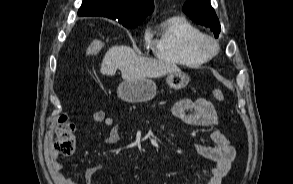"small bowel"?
Returning a JSON list of instances; mask_svg holds the SVG:
<instances>
[{
  "label": "small bowel",
  "mask_w": 293,
  "mask_h": 184,
  "mask_svg": "<svg viewBox=\"0 0 293 184\" xmlns=\"http://www.w3.org/2000/svg\"><path fill=\"white\" fill-rule=\"evenodd\" d=\"M172 113L187 125L203 126L210 129L209 135L212 145L195 144V151L200 156L215 162L211 175L204 184H222L232 167L236 151L217 128L219 119L213 104L206 98L195 100L184 98L173 105ZM91 118L94 122L103 123L111 128L105 138L106 144H115L119 140V125H114L113 119L107 116L104 111H94ZM104 168L102 165L87 168L84 172V183L93 184V177ZM50 170L57 184H77L72 178L63 174V165L57 157H52Z\"/></svg>",
  "instance_id": "c3829d8e"
}]
</instances>
